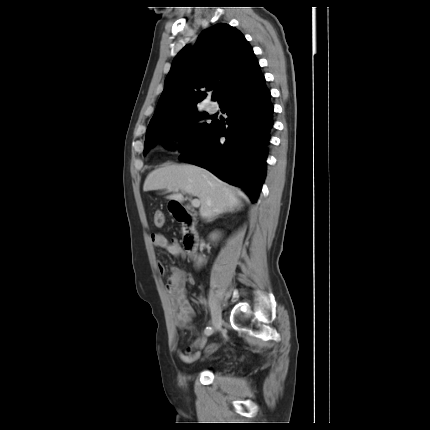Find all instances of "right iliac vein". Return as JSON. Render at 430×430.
<instances>
[{"label": "right iliac vein", "mask_w": 430, "mask_h": 430, "mask_svg": "<svg viewBox=\"0 0 430 430\" xmlns=\"http://www.w3.org/2000/svg\"><path fill=\"white\" fill-rule=\"evenodd\" d=\"M210 301H211L212 326L215 330H220L221 329V323H222V317H221L220 313L218 311H216V309L213 307L211 295H210Z\"/></svg>", "instance_id": "right-iliac-vein-1"}]
</instances>
